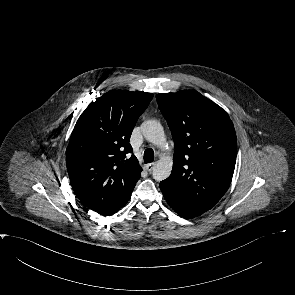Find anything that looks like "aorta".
I'll return each instance as SVG.
<instances>
[{
  "label": "aorta",
  "mask_w": 295,
  "mask_h": 295,
  "mask_svg": "<svg viewBox=\"0 0 295 295\" xmlns=\"http://www.w3.org/2000/svg\"><path fill=\"white\" fill-rule=\"evenodd\" d=\"M141 131L144 138L154 145L164 147L166 137L162 125L157 120H147L142 123ZM173 161L171 157L161 158L153 168V178L156 181L167 179L172 171Z\"/></svg>",
  "instance_id": "obj_1"
}]
</instances>
